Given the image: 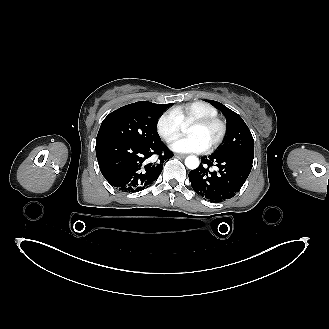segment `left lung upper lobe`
<instances>
[{
  "label": "left lung upper lobe",
  "instance_id": "left-lung-upper-lobe-1",
  "mask_svg": "<svg viewBox=\"0 0 329 329\" xmlns=\"http://www.w3.org/2000/svg\"><path fill=\"white\" fill-rule=\"evenodd\" d=\"M219 109L226 117L228 134L222 146L215 152L254 158V140L243 119L220 102L206 100Z\"/></svg>",
  "mask_w": 329,
  "mask_h": 329
}]
</instances>
